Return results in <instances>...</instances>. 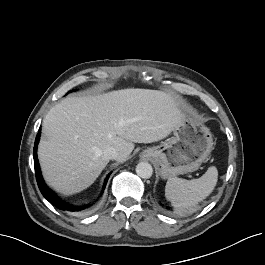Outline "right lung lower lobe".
<instances>
[{"mask_svg":"<svg viewBox=\"0 0 265 265\" xmlns=\"http://www.w3.org/2000/svg\"><path fill=\"white\" fill-rule=\"evenodd\" d=\"M40 133L41 130H39L37 136H36V140H35V144H34V167H35V173H36V180H37V184L38 187L42 193V195L50 202L52 203L56 208L63 210V211H78L81 210L83 207H75L72 205L67 204L66 202L62 201L59 197H57V195L51 191L47 185L45 184L42 175H41V171H40V167H39V163H38V159H37V144L39 142L40 139ZM108 180V177L105 181L104 186L106 185V182Z\"/></svg>","mask_w":265,"mask_h":265,"instance_id":"right-lung-lower-lobe-1","label":"right lung lower lobe"}]
</instances>
